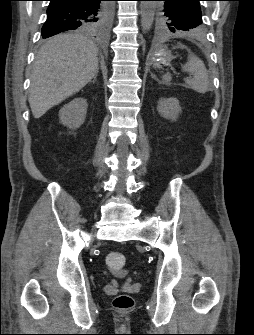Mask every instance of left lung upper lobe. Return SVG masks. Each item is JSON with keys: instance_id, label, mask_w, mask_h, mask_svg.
<instances>
[{"instance_id": "obj_1", "label": "left lung upper lobe", "mask_w": 254, "mask_h": 335, "mask_svg": "<svg viewBox=\"0 0 254 335\" xmlns=\"http://www.w3.org/2000/svg\"><path fill=\"white\" fill-rule=\"evenodd\" d=\"M158 24L166 31H200L203 28L201 0H159Z\"/></svg>"}]
</instances>
